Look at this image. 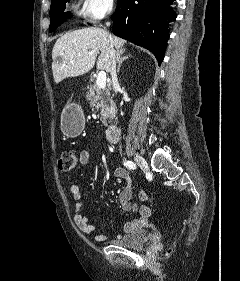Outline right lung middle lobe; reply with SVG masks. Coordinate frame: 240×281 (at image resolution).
Masks as SVG:
<instances>
[{"label":"right lung middle lobe","instance_id":"1","mask_svg":"<svg viewBox=\"0 0 240 281\" xmlns=\"http://www.w3.org/2000/svg\"><path fill=\"white\" fill-rule=\"evenodd\" d=\"M69 1L70 0H51L49 32L54 31L65 21L66 13L63 12V10L66 7V2ZM67 14H69V12Z\"/></svg>","mask_w":240,"mask_h":281}]
</instances>
